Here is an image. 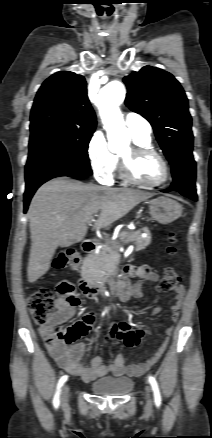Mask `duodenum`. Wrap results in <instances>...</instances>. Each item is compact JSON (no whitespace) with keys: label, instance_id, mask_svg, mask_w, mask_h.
Wrapping results in <instances>:
<instances>
[{"label":"duodenum","instance_id":"1","mask_svg":"<svg viewBox=\"0 0 212 438\" xmlns=\"http://www.w3.org/2000/svg\"><path fill=\"white\" fill-rule=\"evenodd\" d=\"M82 250L87 254H92L96 250V242L93 239H87L82 242ZM79 286L81 291L92 299H96L103 295L105 287L103 284L92 281L89 278L87 271L82 273L81 279L79 281ZM119 284L116 286V291L118 290Z\"/></svg>","mask_w":212,"mask_h":438}]
</instances>
